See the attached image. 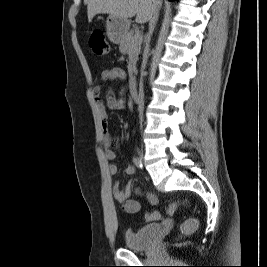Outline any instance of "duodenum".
Wrapping results in <instances>:
<instances>
[{"label":"duodenum","mask_w":267,"mask_h":267,"mask_svg":"<svg viewBox=\"0 0 267 267\" xmlns=\"http://www.w3.org/2000/svg\"><path fill=\"white\" fill-rule=\"evenodd\" d=\"M129 92H130L131 97L134 100L138 99V90H137L136 80L134 76L130 80Z\"/></svg>","instance_id":"1"}]
</instances>
